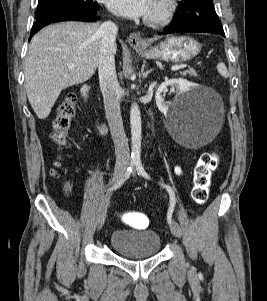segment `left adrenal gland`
I'll return each instance as SVG.
<instances>
[{
    "mask_svg": "<svg viewBox=\"0 0 267 301\" xmlns=\"http://www.w3.org/2000/svg\"><path fill=\"white\" fill-rule=\"evenodd\" d=\"M144 67H145V63L142 65V68H141V73H142V77L143 78H146L148 75H149V73H151L152 72V69H150V70H148V71H144Z\"/></svg>",
    "mask_w": 267,
    "mask_h": 301,
    "instance_id": "obj_1",
    "label": "left adrenal gland"
}]
</instances>
